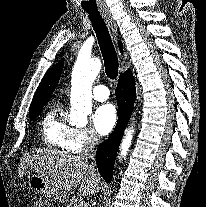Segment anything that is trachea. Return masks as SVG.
<instances>
[{"label":"trachea","mask_w":206,"mask_h":207,"mask_svg":"<svg viewBox=\"0 0 206 207\" xmlns=\"http://www.w3.org/2000/svg\"><path fill=\"white\" fill-rule=\"evenodd\" d=\"M92 26L98 38L101 53L105 64V73L111 80H116L118 76V57L115 51L111 36L104 19L98 11H87Z\"/></svg>","instance_id":"1"}]
</instances>
